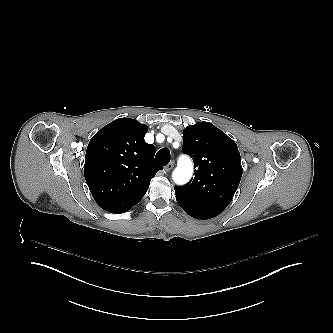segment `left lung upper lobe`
<instances>
[{
    "label": "left lung upper lobe",
    "instance_id": "1",
    "mask_svg": "<svg viewBox=\"0 0 333 333\" xmlns=\"http://www.w3.org/2000/svg\"><path fill=\"white\" fill-rule=\"evenodd\" d=\"M183 152L193 158L195 177L175 187L176 200L221 213L231 202L242 176L236 143L209 122L188 126Z\"/></svg>",
    "mask_w": 333,
    "mask_h": 333
}]
</instances>
